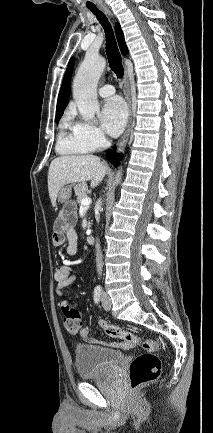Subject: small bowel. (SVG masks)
<instances>
[{
  "label": "small bowel",
  "instance_id": "small-bowel-1",
  "mask_svg": "<svg viewBox=\"0 0 213 433\" xmlns=\"http://www.w3.org/2000/svg\"><path fill=\"white\" fill-rule=\"evenodd\" d=\"M75 223V212L72 210H64L59 215L54 224L53 244L55 246H61L66 241L67 245L65 247V254L67 256H74L78 250V236L74 228ZM54 278L57 283L58 295L61 297H65L66 294L63 290L73 282L72 262L70 260H65L64 263L56 270ZM61 309L63 314H66L67 312H70L72 310H76L66 299L62 301ZM79 335L82 339L89 343L98 342L95 338L90 336V329L88 327H83L80 330ZM99 343L105 345L104 342ZM109 346L113 348L126 349L130 345L123 341L110 343Z\"/></svg>",
  "mask_w": 213,
  "mask_h": 433
}]
</instances>
